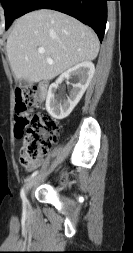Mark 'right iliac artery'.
I'll return each mask as SVG.
<instances>
[{
  "mask_svg": "<svg viewBox=\"0 0 133 253\" xmlns=\"http://www.w3.org/2000/svg\"><path fill=\"white\" fill-rule=\"evenodd\" d=\"M39 173V171H35L33 172L27 179H26V183L24 185V187L21 189V198H22V201H23V206L26 207V205L28 204V201H27V198H26V195H25V186L26 184H28L29 181H31L37 174Z\"/></svg>",
  "mask_w": 133,
  "mask_h": 253,
  "instance_id": "1",
  "label": "right iliac artery"
}]
</instances>
